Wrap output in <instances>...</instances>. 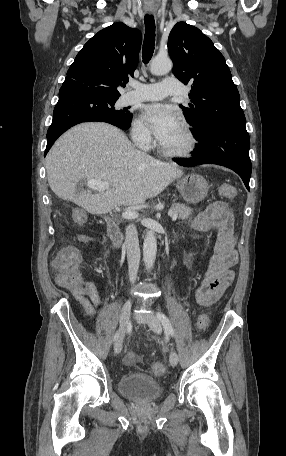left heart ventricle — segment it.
I'll list each match as a JSON object with an SVG mask.
<instances>
[{
    "instance_id": "left-heart-ventricle-1",
    "label": "left heart ventricle",
    "mask_w": 286,
    "mask_h": 456,
    "mask_svg": "<svg viewBox=\"0 0 286 456\" xmlns=\"http://www.w3.org/2000/svg\"><path fill=\"white\" fill-rule=\"evenodd\" d=\"M187 142L188 140L185 134L181 127H179L171 137L161 144L169 150H181L187 145Z\"/></svg>"
}]
</instances>
